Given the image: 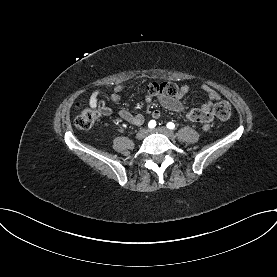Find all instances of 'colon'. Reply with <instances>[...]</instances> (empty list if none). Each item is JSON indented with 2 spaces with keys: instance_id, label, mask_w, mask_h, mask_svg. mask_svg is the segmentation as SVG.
Here are the masks:
<instances>
[{
  "instance_id": "colon-1",
  "label": "colon",
  "mask_w": 277,
  "mask_h": 277,
  "mask_svg": "<svg viewBox=\"0 0 277 277\" xmlns=\"http://www.w3.org/2000/svg\"><path fill=\"white\" fill-rule=\"evenodd\" d=\"M149 95L152 96H174L178 92V88L175 84L164 82V83H152L146 88ZM215 115L222 121H228L231 117V106L226 101L217 103L214 107ZM99 111L93 108H85L75 118L74 124L79 129H90L97 119L99 118Z\"/></svg>"
}]
</instances>
